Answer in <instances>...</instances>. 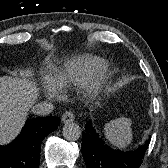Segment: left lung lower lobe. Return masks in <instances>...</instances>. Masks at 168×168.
<instances>
[{
	"instance_id": "0a47b994",
	"label": "left lung lower lobe",
	"mask_w": 168,
	"mask_h": 168,
	"mask_svg": "<svg viewBox=\"0 0 168 168\" xmlns=\"http://www.w3.org/2000/svg\"><path fill=\"white\" fill-rule=\"evenodd\" d=\"M82 155L86 168H139L150 139L134 151L114 150L106 145L89 121L82 132Z\"/></svg>"
}]
</instances>
